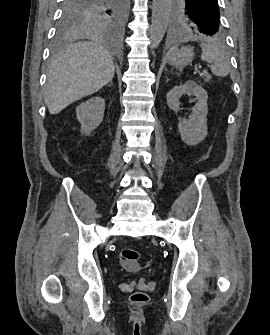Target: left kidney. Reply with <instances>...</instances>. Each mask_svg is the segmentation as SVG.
<instances>
[{
    "instance_id": "obj_1",
    "label": "left kidney",
    "mask_w": 270,
    "mask_h": 335,
    "mask_svg": "<svg viewBox=\"0 0 270 335\" xmlns=\"http://www.w3.org/2000/svg\"><path fill=\"white\" fill-rule=\"evenodd\" d=\"M183 94H188V96L194 94L198 102L192 108V116H189V120H180L178 130L181 140L187 146H196L199 142H203L207 136L208 94L202 86H197L194 80H187L183 86H174L173 90H170L167 94V106L174 112H179V98Z\"/></svg>"
}]
</instances>
